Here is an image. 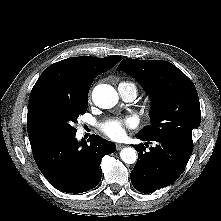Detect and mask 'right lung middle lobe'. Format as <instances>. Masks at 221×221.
<instances>
[{
	"label": "right lung middle lobe",
	"mask_w": 221,
	"mask_h": 221,
	"mask_svg": "<svg viewBox=\"0 0 221 221\" xmlns=\"http://www.w3.org/2000/svg\"><path fill=\"white\" fill-rule=\"evenodd\" d=\"M88 106L86 97H66L43 94L35 101L33 124L39 138L45 142L76 134L74 124Z\"/></svg>",
	"instance_id": "dd1d6c3e"
}]
</instances>
